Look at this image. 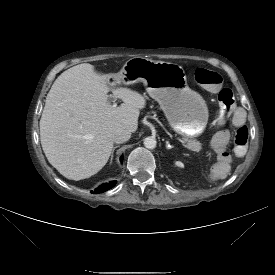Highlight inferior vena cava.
<instances>
[{
	"label": "inferior vena cava",
	"instance_id": "602c4592",
	"mask_svg": "<svg viewBox=\"0 0 275 275\" xmlns=\"http://www.w3.org/2000/svg\"><path fill=\"white\" fill-rule=\"evenodd\" d=\"M131 137V132L129 129L126 128H119L115 130L112 135L113 142L115 143H124L128 141Z\"/></svg>",
	"mask_w": 275,
	"mask_h": 275
}]
</instances>
